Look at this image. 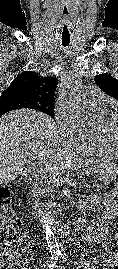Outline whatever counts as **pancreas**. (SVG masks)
<instances>
[{"instance_id": "cf45deb5", "label": "pancreas", "mask_w": 118, "mask_h": 269, "mask_svg": "<svg viewBox=\"0 0 118 269\" xmlns=\"http://www.w3.org/2000/svg\"><path fill=\"white\" fill-rule=\"evenodd\" d=\"M104 183L103 182H88L87 183V189L89 192H105L109 191V188L103 187ZM43 190L49 191L50 190V185L45 182Z\"/></svg>"}]
</instances>
